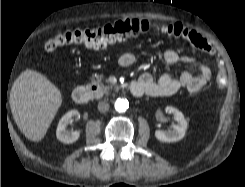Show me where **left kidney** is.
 Listing matches in <instances>:
<instances>
[{
    "mask_svg": "<svg viewBox=\"0 0 245 187\" xmlns=\"http://www.w3.org/2000/svg\"><path fill=\"white\" fill-rule=\"evenodd\" d=\"M165 111L172 114L174 117V120L177 123L174 124L172 126V129L168 131L157 130L155 132V137L159 141L167 142V143L176 142V141L181 140L184 137L186 129H187V121L184 118V115L182 114V112H180L179 110L171 106H167L165 108Z\"/></svg>",
    "mask_w": 245,
    "mask_h": 187,
    "instance_id": "obj_1",
    "label": "left kidney"
}]
</instances>
